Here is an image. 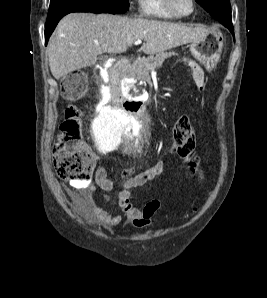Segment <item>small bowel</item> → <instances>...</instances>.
I'll return each instance as SVG.
<instances>
[{"label":"small bowel","mask_w":267,"mask_h":298,"mask_svg":"<svg viewBox=\"0 0 267 298\" xmlns=\"http://www.w3.org/2000/svg\"><path fill=\"white\" fill-rule=\"evenodd\" d=\"M187 64L192 71V77L197 89L201 93H204L207 88V81L203 69L192 60H187ZM165 169L164 163H158L147 173L138 175L124 184V188L118 196L117 203L124 212L129 225L136 228L149 226L154 215L161 208V201L159 199H152L143 207L135 206L132 203L129 190L134 187L143 186L155 176L162 174ZM95 182L97 187L105 192H110L113 189V183L107 178L106 170L102 166H99L96 170ZM85 190V194L83 195L72 190H67V194L90 222L105 226H115L122 221V217L119 214L109 213L98 205L95 198L96 186L88 185L85 187Z\"/></svg>","instance_id":"obj_1"}]
</instances>
